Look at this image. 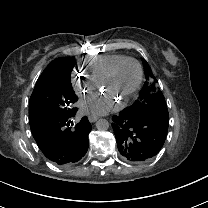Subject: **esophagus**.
Listing matches in <instances>:
<instances>
[{
	"label": "esophagus",
	"instance_id": "esophagus-1",
	"mask_svg": "<svg viewBox=\"0 0 208 208\" xmlns=\"http://www.w3.org/2000/svg\"><path fill=\"white\" fill-rule=\"evenodd\" d=\"M88 120H89L90 122H95V121L98 120V117H97V116H94V115H89V116H88Z\"/></svg>",
	"mask_w": 208,
	"mask_h": 208
}]
</instances>
